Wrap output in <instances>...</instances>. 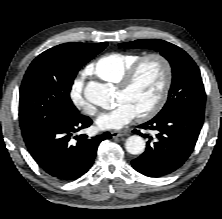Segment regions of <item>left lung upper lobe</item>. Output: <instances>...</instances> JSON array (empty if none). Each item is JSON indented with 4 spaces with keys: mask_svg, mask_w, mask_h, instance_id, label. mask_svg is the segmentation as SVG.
I'll use <instances>...</instances> for the list:
<instances>
[{
    "mask_svg": "<svg viewBox=\"0 0 222 219\" xmlns=\"http://www.w3.org/2000/svg\"><path fill=\"white\" fill-rule=\"evenodd\" d=\"M123 48H146L160 52L172 67V85L168 101L157 116L175 109L189 110L204 115L205 90L200 71L192 58L181 48L169 42L150 39L119 44Z\"/></svg>",
    "mask_w": 222,
    "mask_h": 219,
    "instance_id": "obj_1",
    "label": "left lung upper lobe"
}]
</instances>
